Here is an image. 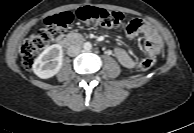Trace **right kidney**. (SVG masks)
Returning <instances> with one entry per match:
<instances>
[{"instance_id": "obj_1", "label": "right kidney", "mask_w": 194, "mask_h": 133, "mask_svg": "<svg viewBox=\"0 0 194 133\" xmlns=\"http://www.w3.org/2000/svg\"><path fill=\"white\" fill-rule=\"evenodd\" d=\"M63 50L58 44L46 48L34 61L33 72L42 79L56 75L62 67Z\"/></svg>"}]
</instances>
